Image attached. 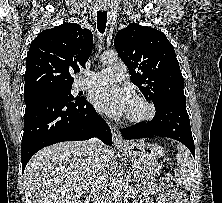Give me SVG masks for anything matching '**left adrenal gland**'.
I'll list each match as a JSON object with an SVG mask.
<instances>
[{"label":"left adrenal gland","mask_w":222,"mask_h":203,"mask_svg":"<svg viewBox=\"0 0 222 203\" xmlns=\"http://www.w3.org/2000/svg\"><path fill=\"white\" fill-rule=\"evenodd\" d=\"M131 176H132V173L130 171H127V178H126L127 182L132 183L134 181Z\"/></svg>","instance_id":"a2214340"}]
</instances>
